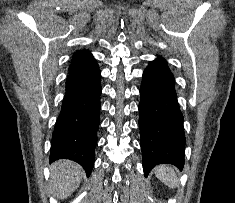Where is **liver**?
<instances>
[{
    "label": "liver",
    "instance_id": "obj_1",
    "mask_svg": "<svg viewBox=\"0 0 235 203\" xmlns=\"http://www.w3.org/2000/svg\"><path fill=\"white\" fill-rule=\"evenodd\" d=\"M84 171L82 167L70 160H59L51 166L50 185L55 196L65 199L80 185Z\"/></svg>",
    "mask_w": 235,
    "mask_h": 203
}]
</instances>
